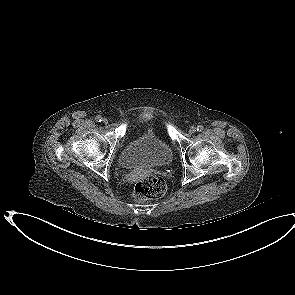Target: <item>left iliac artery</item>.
Masks as SVG:
<instances>
[{
  "label": "left iliac artery",
  "mask_w": 295,
  "mask_h": 295,
  "mask_svg": "<svg viewBox=\"0 0 295 295\" xmlns=\"http://www.w3.org/2000/svg\"><path fill=\"white\" fill-rule=\"evenodd\" d=\"M204 129L202 125L197 126V131L201 132Z\"/></svg>",
  "instance_id": "obj_1"
}]
</instances>
